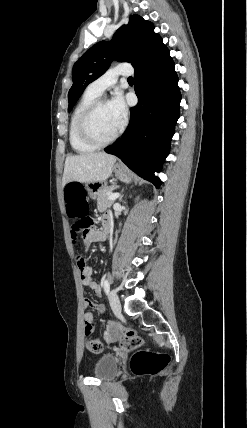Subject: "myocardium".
<instances>
[{
  "label": "myocardium",
  "instance_id": "f54148a6",
  "mask_svg": "<svg viewBox=\"0 0 247 428\" xmlns=\"http://www.w3.org/2000/svg\"><path fill=\"white\" fill-rule=\"evenodd\" d=\"M106 102L103 99H97L92 102L87 109L81 115L79 120V133L84 141L95 146V147H105L112 144L120 135L121 127H119L115 133L106 140H99L91 131L90 120L94 112L102 105H105Z\"/></svg>",
  "mask_w": 247,
  "mask_h": 428
}]
</instances>
